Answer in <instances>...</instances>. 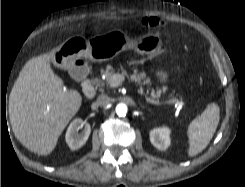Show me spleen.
I'll return each instance as SVG.
<instances>
[{"label": "spleen", "instance_id": "spleen-1", "mask_svg": "<svg viewBox=\"0 0 245 187\" xmlns=\"http://www.w3.org/2000/svg\"><path fill=\"white\" fill-rule=\"evenodd\" d=\"M220 120V108L216 103L207 105L204 112L192 120L187 128L188 156L202 152L212 139Z\"/></svg>", "mask_w": 245, "mask_h": 187}]
</instances>
